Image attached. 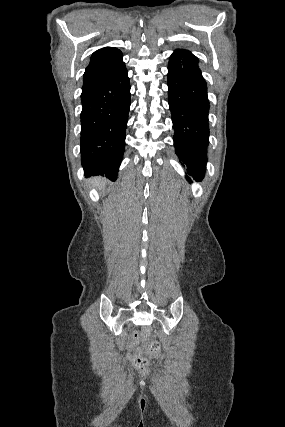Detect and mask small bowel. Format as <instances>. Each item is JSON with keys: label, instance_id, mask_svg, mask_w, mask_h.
<instances>
[{"label": "small bowel", "instance_id": "c3829d8e", "mask_svg": "<svg viewBox=\"0 0 285 427\" xmlns=\"http://www.w3.org/2000/svg\"><path fill=\"white\" fill-rule=\"evenodd\" d=\"M136 343V340L134 338H132L129 342V348L131 349Z\"/></svg>", "mask_w": 285, "mask_h": 427}]
</instances>
